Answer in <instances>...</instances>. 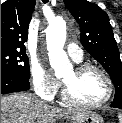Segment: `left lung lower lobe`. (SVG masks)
Listing matches in <instances>:
<instances>
[{
	"mask_svg": "<svg viewBox=\"0 0 122 123\" xmlns=\"http://www.w3.org/2000/svg\"><path fill=\"white\" fill-rule=\"evenodd\" d=\"M111 107L122 109V100H114Z\"/></svg>",
	"mask_w": 122,
	"mask_h": 123,
	"instance_id": "0a47b994",
	"label": "left lung lower lobe"
}]
</instances>
